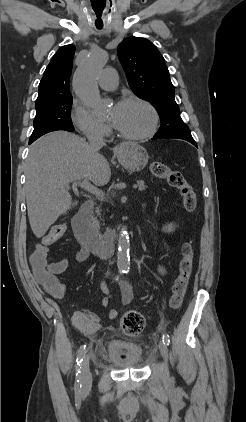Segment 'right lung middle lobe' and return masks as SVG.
Segmentation results:
<instances>
[{
	"label": "right lung middle lobe",
	"instance_id": "dd1d6c3e",
	"mask_svg": "<svg viewBox=\"0 0 246 422\" xmlns=\"http://www.w3.org/2000/svg\"><path fill=\"white\" fill-rule=\"evenodd\" d=\"M72 101V97H65L46 106L36 108L34 131L29 142L56 130L74 131L71 120Z\"/></svg>",
	"mask_w": 246,
	"mask_h": 422
}]
</instances>
